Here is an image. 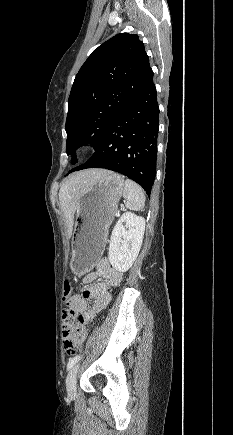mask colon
<instances>
[{"mask_svg": "<svg viewBox=\"0 0 233 435\" xmlns=\"http://www.w3.org/2000/svg\"><path fill=\"white\" fill-rule=\"evenodd\" d=\"M72 291V283L65 279L63 282V298L67 300L72 294ZM63 345L68 354H73L76 351L77 344L75 343L74 337L71 333V324L63 330Z\"/></svg>", "mask_w": 233, "mask_h": 435, "instance_id": "colon-1", "label": "colon"}]
</instances>
